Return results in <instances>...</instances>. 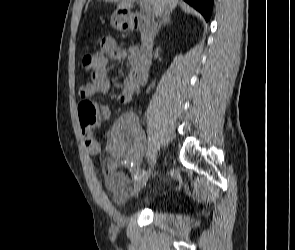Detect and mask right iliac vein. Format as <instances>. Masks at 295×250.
Segmentation results:
<instances>
[{
    "label": "right iliac vein",
    "instance_id": "right-iliac-vein-1",
    "mask_svg": "<svg viewBox=\"0 0 295 250\" xmlns=\"http://www.w3.org/2000/svg\"><path fill=\"white\" fill-rule=\"evenodd\" d=\"M150 176V173H145L143 176H141L133 186V195L138 194L141 189L146 185L148 178Z\"/></svg>",
    "mask_w": 295,
    "mask_h": 250
}]
</instances>
